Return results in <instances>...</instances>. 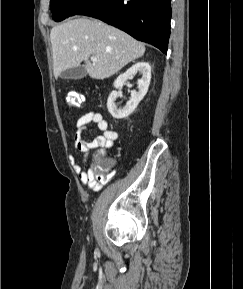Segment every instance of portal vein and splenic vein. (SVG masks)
Listing matches in <instances>:
<instances>
[{"label":"portal vein and splenic vein","instance_id":"portal-vein-and-splenic-vein-1","mask_svg":"<svg viewBox=\"0 0 243 289\" xmlns=\"http://www.w3.org/2000/svg\"><path fill=\"white\" fill-rule=\"evenodd\" d=\"M91 61H92L93 63L97 62V57L92 56V57H91Z\"/></svg>","mask_w":243,"mask_h":289}]
</instances>
